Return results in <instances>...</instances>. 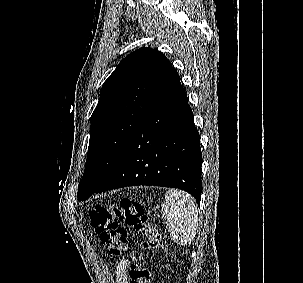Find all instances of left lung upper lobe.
Wrapping results in <instances>:
<instances>
[{"label": "left lung upper lobe", "mask_w": 303, "mask_h": 283, "mask_svg": "<svg viewBox=\"0 0 303 283\" xmlns=\"http://www.w3.org/2000/svg\"><path fill=\"white\" fill-rule=\"evenodd\" d=\"M171 68L164 54L143 47L127 55L104 82L90 119L78 194L100 187L112 174Z\"/></svg>", "instance_id": "5c2ea615"}]
</instances>
